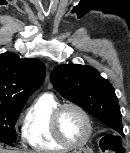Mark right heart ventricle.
Masks as SVG:
<instances>
[{
	"label": "right heart ventricle",
	"mask_w": 130,
	"mask_h": 153,
	"mask_svg": "<svg viewBox=\"0 0 130 153\" xmlns=\"http://www.w3.org/2000/svg\"><path fill=\"white\" fill-rule=\"evenodd\" d=\"M60 105L51 93L39 95L28 109L22 126L23 141L39 152H63L69 148L62 145L51 128V115Z\"/></svg>",
	"instance_id": "right-heart-ventricle-1"
}]
</instances>
